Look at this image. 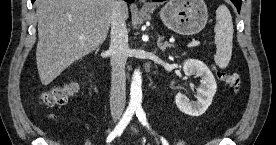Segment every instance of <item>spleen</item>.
<instances>
[{
    "label": "spleen",
    "instance_id": "1",
    "mask_svg": "<svg viewBox=\"0 0 276 145\" xmlns=\"http://www.w3.org/2000/svg\"><path fill=\"white\" fill-rule=\"evenodd\" d=\"M233 31L230 11L225 5H220L216 10V25L214 28L216 43L214 61L221 69L228 66L232 56Z\"/></svg>",
    "mask_w": 276,
    "mask_h": 145
}]
</instances>
